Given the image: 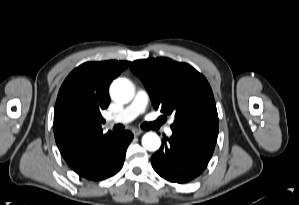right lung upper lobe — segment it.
Returning <instances> with one entry per match:
<instances>
[{
	"label": "right lung upper lobe",
	"mask_w": 299,
	"mask_h": 205,
	"mask_svg": "<svg viewBox=\"0 0 299 205\" xmlns=\"http://www.w3.org/2000/svg\"><path fill=\"white\" fill-rule=\"evenodd\" d=\"M128 61L87 62L63 82L54 110V135L69 166L89 148L113 135L103 134L102 111L109 105L108 88L128 67Z\"/></svg>",
	"instance_id": "cb5924a9"
}]
</instances>
